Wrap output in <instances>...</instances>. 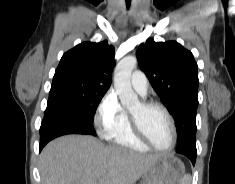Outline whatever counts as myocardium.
Returning <instances> with one entry per match:
<instances>
[{"mask_svg": "<svg viewBox=\"0 0 235 184\" xmlns=\"http://www.w3.org/2000/svg\"><path fill=\"white\" fill-rule=\"evenodd\" d=\"M141 105L143 109L149 110L152 108H159L165 112L167 115L170 125H171V132H172V139H171V144L168 148L162 149L157 147L153 141L150 139V137L147 135L146 131L143 129L139 121L131 114V126L134 135L140 139L142 142H144L148 147H150L152 150H154L157 153L160 154H169L171 153L177 144V127H176V121L171 113V111L162 103L156 102V101H142Z\"/></svg>", "mask_w": 235, "mask_h": 184, "instance_id": "obj_1", "label": "myocardium"}]
</instances>
